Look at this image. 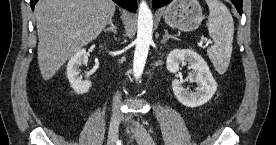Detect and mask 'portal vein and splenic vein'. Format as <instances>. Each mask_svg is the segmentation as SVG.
Here are the masks:
<instances>
[{
  "instance_id": "obj_1",
  "label": "portal vein and splenic vein",
  "mask_w": 276,
  "mask_h": 145,
  "mask_svg": "<svg viewBox=\"0 0 276 145\" xmlns=\"http://www.w3.org/2000/svg\"><path fill=\"white\" fill-rule=\"evenodd\" d=\"M204 42H206V44H212V41H210V40H204Z\"/></svg>"
}]
</instances>
